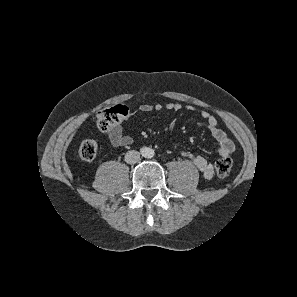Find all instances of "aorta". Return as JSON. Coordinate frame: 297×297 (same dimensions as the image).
Returning a JSON list of instances; mask_svg holds the SVG:
<instances>
[{"label":"aorta","instance_id":"762f6f07","mask_svg":"<svg viewBox=\"0 0 297 297\" xmlns=\"http://www.w3.org/2000/svg\"><path fill=\"white\" fill-rule=\"evenodd\" d=\"M144 156L147 158H151L154 156V150L152 148H145Z\"/></svg>","mask_w":297,"mask_h":297}]
</instances>
